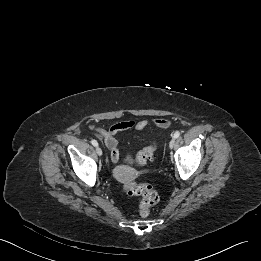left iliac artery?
Instances as JSON below:
<instances>
[{"label": "left iliac artery", "mask_w": 261, "mask_h": 261, "mask_svg": "<svg viewBox=\"0 0 261 261\" xmlns=\"http://www.w3.org/2000/svg\"><path fill=\"white\" fill-rule=\"evenodd\" d=\"M180 136V132L179 131H176L173 135V138H178Z\"/></svg>", "instance_id": "1"}]
</instances>
